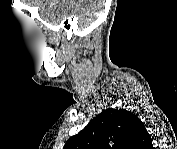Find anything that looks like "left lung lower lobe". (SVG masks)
Here are the masks:
<instances>
[{
    "label": "left lung lower lobe",
    "instance_id": "obj_1",
    "mask_svg": "<svg viewBox=\"0 0 177 149\" xmlns=\"http://www.w3.org/2000/svg\"><path fill=\"white\" fill-rule=\"evenodd\" d=\"M143 147L145 149H152V140H151V137L148 133L145 134V136H144Z\"/></svg>",
    "mask_w": 177,
    "mask_h": 149
}]
</instances>
